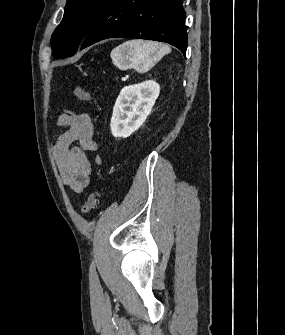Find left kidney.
Returning a JSON list of instances; mask_svg holds the SVG:
<instances>
[{"instance_id": "left-kidney-1", "label": "left kidney", "mask_w": 285, "mask_h": 335, "mask_svg": "<svg viewBox=\"0 0 285 335\" xmlns=\"http://www.w3.org/2000/svg\"><path fill=\"white\" fill-rule=\"evenodd\" d=\"M160 94V86L147 80L122 88L113 108L110 122L115 138H129L144 124Z\"/></svg>"}]
</instances>
